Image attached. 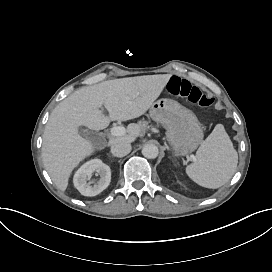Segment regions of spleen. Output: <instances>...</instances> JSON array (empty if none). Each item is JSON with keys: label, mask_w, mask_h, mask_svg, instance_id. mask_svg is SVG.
I'll return each mask as SVG.
<instances>
[{"label": "spleen", "mask_w": 272, "mask_h": 272, "mask_svg": "<svg viewBox=\"0 0 272 272\" xmlns=\"http://www.w3.org/2000/svg\"><path fill=\"white\" fill-rule=\"evenodd\" d=\"M238 153L222 124H217L196 152V161L186 167L187 175L198 185L217 189L233 176Z\"/></svg>", "instance_id": "3e777b00"}]
</instances>
